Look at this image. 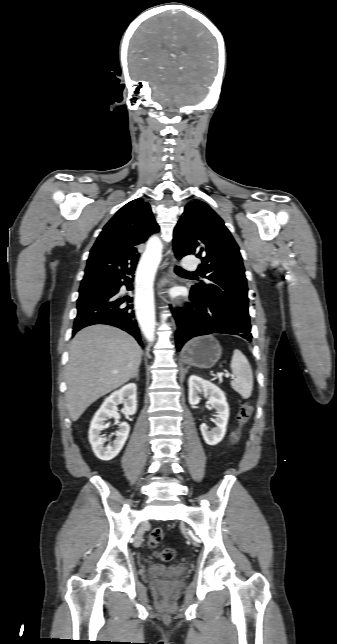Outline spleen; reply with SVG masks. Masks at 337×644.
Instances as JSON below:
<instances>
[{
    "mask_svg": "<svg viewBox=\"0 0 337 644\" xmlns=\"http://www.w3.org/2000/svg\"><path fill=\"white\" fill-rule=\"evenodd\" d=\"M230 367L235 375L231 387L244 399L249 398L253 390V373L247 358L240 350H234Z\"/></svg>",
    "mask_w": 337,
    "mask_h": 644,
    "instance_id": "spleen-1",
    "label": "spleen"
}]
</instances>
